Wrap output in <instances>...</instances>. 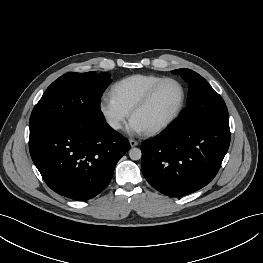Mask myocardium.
I'll use <instances>...</instances> for the list:
<instances>
[{
	"instance_id": "myocardium-1",
	"label": "myocardium",
	"mask_w": 263,
	"mask_h": 263,
	"mask_svg": "<svg viewBox=\"0 0 263 263\" xmlns=\"http://www.w3.org/2000/svg\"><path fill=\"white\" fill-rule=\"evenodd\" d=\"M166 82H174L180 87V89H181L180 103H179L177 109L175 110V112L167 120H165L164 122L160 123L159 125H157L153 128H150L148 130L143 131L144 134L147 136H152V135L158 134L159 132L168 128L172 123H174L176 121V119L180 116V114L182 113V111L185 107L186 100H187V89H186L185 85L183 84V82L180 81L179 79L175 78V77H164L161 80H159L157 83H155L143 95V97L133 106V108L130 110V117L133 118V116L138 111H140L141 109L146 107L148 105V103L151 101V99L154 96V94L156 93V91L160 88V86H162Z\"/></svg>"
}]
</instances>
